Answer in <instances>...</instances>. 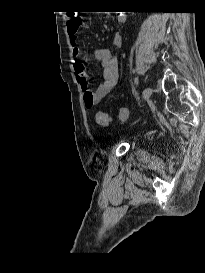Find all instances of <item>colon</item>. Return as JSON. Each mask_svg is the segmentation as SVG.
Masks as SVG:
<instances>
[{"label":"colon","mask_w":205,"mask_h":273,"mask_svg":"<svg viewBox=\"0 0 205 273\" xmlns=\"http://www.w3.org/2000/svg\"><path fill=\"white\" fill-rule=\"evenodd\" d=\"M77 27L81 28L82 27V20H79L77 22ZM130 117V111L127 108H120L118 110V118L122 121L128 120ZM112 121V116L110 114H106L103 112H97L96 113V122L102 126H107L111 123Z\"/></svg>","instance_id":"1"}]
</instances>
